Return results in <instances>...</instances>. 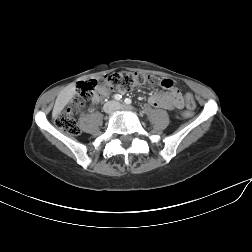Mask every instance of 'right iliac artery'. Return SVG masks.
<instances>
[{"mask_svg": "<svg viewBox=\"0 0 252 252\" xmlns=\"http://www.w3.org/2000/svg\"><path fill=\"white\" fill-rule=\"evenodd\" d=\"M114 98L119 101L121 100L122 96L120 94H115Z\"/></svg>", "mask_w": 252, "mask_h": 252, "instance_id": "obj_1", "label": "right iliac artery"}]
</instances>
